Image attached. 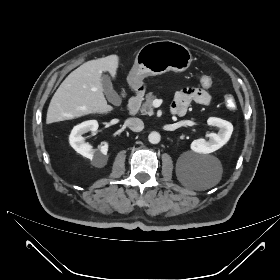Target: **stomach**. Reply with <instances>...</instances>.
Returning <instances> with one entry per match:
<instances>
[{
    "label": "stomach",
    "mask_w": 280,
    "mask_h": 280,
    "mask_svg": "<svg viewBox=\"0 0 280 280\" xmlns=\"http://www.w3.org/2000/svg\"><path fill=\"white\" fill-rule=\"evenodd\" d=\"M191 62L192 55L189 49L178 42L171 40L150 42L138 51L127 81L134 90H143L144 78L167 71H185Z\"/></svg>",
    "instance_id": "stomach-1"
}]
</instances>
